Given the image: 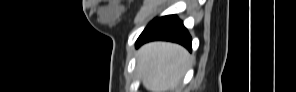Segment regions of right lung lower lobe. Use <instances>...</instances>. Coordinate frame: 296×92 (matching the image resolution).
I'll return each mask as SVG.
<instances>
[{"label":"right lung lower lobe","instance_id":"obj_1","mask_svg":"<svg viewBox=\"0 0 296 92\" xmlns=\"http://www.w3.org/2000/svg\"><path fill=\"white\" fill-rule=\"evenodd\" d=\"M151 40L173 41L191 50V37L176 15L154 19L141 33L136 41V46L139 47Z\"/></svg>","mask_w":296,"mask_h":92}]
</instances>
